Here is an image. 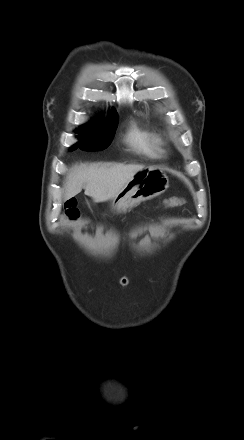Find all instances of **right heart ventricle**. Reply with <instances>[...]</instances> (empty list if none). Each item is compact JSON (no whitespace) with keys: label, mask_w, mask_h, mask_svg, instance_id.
Instances as JSON below:
<instances>
[{"label":"right heart ventricle","mask_w":244,"mask_h":440,"mask_svg":"<svg viewBox=\"0 0 244 440\" xmlns=\"http://www.w3.org/2000/svg\"><path fill=\"white\" fill-rule=\"evenodd\" d=\"M124 140L133 151L158 157L162 153L160 140L152 132L144 129L136 122H131L127 128Z\"/></svg>","instance_id":"obj_1"}]
</instances>
